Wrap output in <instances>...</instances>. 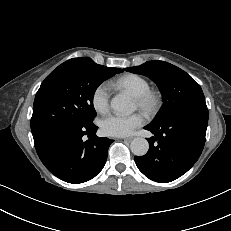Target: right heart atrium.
I'll list each match as a JSON object with an SVG mask.
<instances>
[{
    "label": "right heart atrium",
    "instance_id": "1",
    "mask_svg": "<svg viewBox=\"0 0 231 231\" xmlns=\"http://www.w3.org/2000/svg\"><path fill=\"white\" fill-rule=\"evenodd\" d=\"M110 101V91L106 84L98 85L91 97V102L94 109L98 113H105L108 110Z\"/></svg>",
    "mask_w": 231,
    "mask_h": 231
}]
</instances>
